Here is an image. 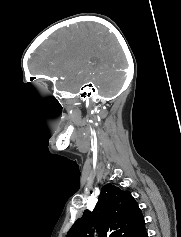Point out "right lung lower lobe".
<instances>
[{"mask_svg": "<svg viewBox=\"0 0 181 237\" xmlns=\"http://www.w3.org/2000/svg\"><path fill=\"white\" fill-rule=\"evenodd\" d=\"M142 237H148L147 232H145L144 235H142Z\"/></svg>", "mask_w": 181, "mask_h": 237, "instance_id": "obj_1", "label": "right lung lower lobe"}]
</instances>
